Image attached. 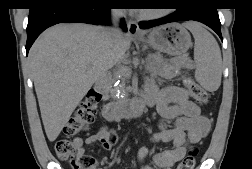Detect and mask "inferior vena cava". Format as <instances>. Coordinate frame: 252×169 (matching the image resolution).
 Segmentation results:
<instances>
[{
  "label": "inferior vena cava",
  "mask_w": 252,
  "mask_h": 169,
  "mask_svg": "<svg viewBox=\"0 0 252 169\" xmlns=\"http://www.w3.org/2000/svg\"><path fill=\"white\" fill-rule=\"evenodd\" d=\"M124 15L123 9H112L111 10V20L113 26L107 29V35L111 39L112 42L119 44L122 39V32L119 25V20Z\"/></svg>",
  "instance_id": "inferior-vena-cava-1"
}]
</instances>
